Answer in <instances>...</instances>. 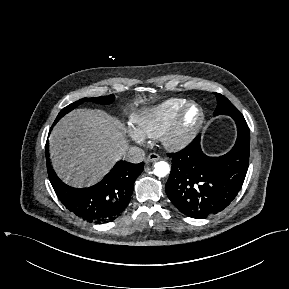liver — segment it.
Here are the masks:
<instances>
[{
	"label": "liver",
	"mask_w": 289,
	"mask_h": 289,
	"mask_svg": "<svg viewBox=\"0 0 289 289\" xmlns=\"http://www.w3.org/2000/svg\"><path fill=\"white\" fill-rule=\"evenodd\" d=\"M127 150L128 140L118 121L100 110H73L50 136L53 167L73 187L99 182Z\"/></svg>",
	"instance_id": "6515ba94"
}]
</instances>
